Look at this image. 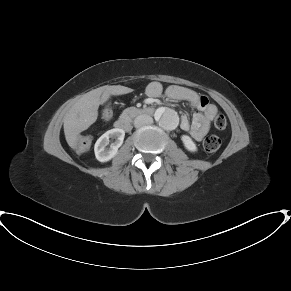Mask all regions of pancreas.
Here are the masks:
<instances>
[{
    "instance_id": "1",
    "label": "pancreas",
    "mask_w": 291,
    "mask_h": 291,
    "mask_svg": "<svg viewBox=\"0 0 291 291\" xmlns=\"http://www.w3.org/2000/svg\"><path fill=\"white\" fill-rule=\"evenodd\" d=\"M130 108H128V109H126L124 112H123V114L122 115H126V114H128L129 112H130Z\"/></svg>"
}]
</instances>
